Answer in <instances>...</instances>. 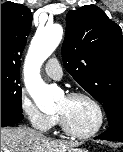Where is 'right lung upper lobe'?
<instances>
[{
	"label": "right lung upper lobe",
	"mask_w": 123,
	"mask_h": 152,
	"mask_svg": "<svg viewBox=\"0 0 123 152\" xmlns=\"http://www.w3.org/2000/svg\"><path fill=\"white\" fill-rule=\"evenodd\" d=\"M31 22V11L24 5L13 2L1 5V69L20 71Z\"/></svg>",
	"instance_id": "1"
}]
</instances>
